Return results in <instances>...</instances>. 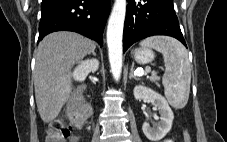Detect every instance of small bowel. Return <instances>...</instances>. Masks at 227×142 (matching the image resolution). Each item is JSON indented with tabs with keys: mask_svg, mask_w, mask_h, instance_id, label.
I'll use <instances>...</instances> for the list:
<instances>
[{
	"mask_svg": "<svg viewBox=\"0 0 227 142\" xmlns=\"http://www.w3.org/2000/svg\"><path fill=\"white\" fill-rule=\"evenodd\" d=\"M161 142H174V141L170 138H167V139L162 140Z\"/></svg>",
	"mask_w": 227,
	"mask_h": 142,
	"instance_id": "1",
	"label": "small bowel"
}]
</instances>
